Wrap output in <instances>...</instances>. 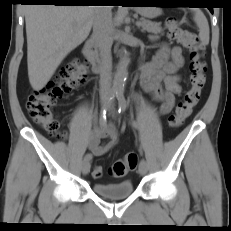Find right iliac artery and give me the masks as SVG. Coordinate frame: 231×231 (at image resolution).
I'll return each instance as SVG.
<instances>
[{
	"label": "right iliac artery",
	"instance_id": "right-iliac-artery-1",
	"mask_svg": "<svg viewBox=\"0 0 231 231\" xmlns=\"http://www.w3.org/2000/svg\"><path fill=\"white\" fill-rule=\"evenodd\" d=\"M117 94L116 89H112L110 94L108 95L107 102L103 105V108L101 110V115H100V127L105 128L106 127V122H107V103L112 100L115 95ZM92 159V154L88 153L86 154L84 160H91Z\"/></svg>",
	"mask_w": 231,
	"mask_h": 231
}]
</instances>
